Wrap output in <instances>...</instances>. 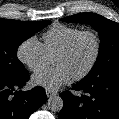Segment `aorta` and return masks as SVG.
I'll list each match as a JSON object with an SVG mask.
<instances>
[{
    "label": "aorta",
    "mask_w": 119,
    "mask_h": 119,
    "mask_svg": "<svg viewBox=\"0 0 119 119\" xmlns=\"http://www.w3.org/2000/svg\"><path fill=\"white\" fill-rule=\"evenodd\" d=\"M48 108L53 112H59L63 108L64 102L60 96H51L48 99Z\"/></svg>",
    "instance_id": "obj_1"
}]
</instances>
